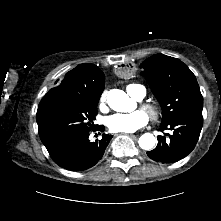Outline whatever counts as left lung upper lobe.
<instances>
[{
  "label": "left lung upper lobe",
  "mask_w": 221,
  "mask_h": 221,
  "mask_svg": "<svg viewBox=\"0 0 221 221\" xmlns=\"http://www.w3.org/2000/svg\"><path fill=\"white\" fill-rule=\"evenodd\" d=\"M141 67L152 92L161 103L162 124L193 110H202L203 97L196 77L182 61L156 54L144 61ZM172 152L173 148L167 147L163 155L169 156Z\"/></svg>",
  "instance_id": "obj_1"
}]
</instances>
